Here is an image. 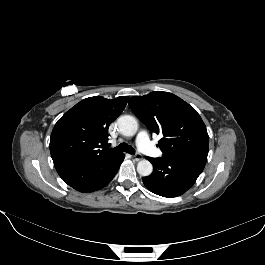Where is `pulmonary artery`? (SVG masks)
<instances>
[{"instance_id": "pulmonary-artery-1", "label": "pulmonary artery", "mask_w": 265, "mask_h": 265, "mask_svg": "<svg viewBox=\"0 0 265 265\" xmlns=\"http://www.w3.org/2000/svg\"><path fill=\"white\" fill-rule=\"evenodd\" d=\"M137 145L149 156L158 157L160 155V151L150 142L146 132H140L138 134Z\"/></svg>"}]
</instances>
